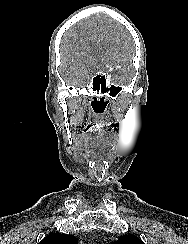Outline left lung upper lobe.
<instances>
[{
  "instance_id": "obj_1",
  "label": "left lung upper lobe",
  "mask_w": 188,
  "mask_h": 244,
  "mask_svg": "<svg viewBox=\"0 0 188 244\" xmlns=\"http://www.w3.org/2000/svg\"><path fill=\"white\" fill-rule=\"evenodd\" d=\"M112 244H144L143 241L135 235H123L118 241Z\"/></svg>"
}]
</instances>
